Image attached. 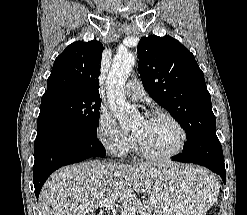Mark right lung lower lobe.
<instances>
[{
  "label": "right lung lower lobe",
  "mask_w": 247,
  "mask_h": 215,
  "mask_svg": "<svg viewBox=\"0 0 247 215\" xmlns=\"http://www.w3.org/2000/svg\"><path fill=\"white\" fill-rule=\"evenodd\" d=\"M34 145L33 182L37 199L44 182L56 169L105 156V149L97 140V135L59 122L38 124Z\"/></svg>",
  "instance_id": "obj_1"
}]
</instances>
